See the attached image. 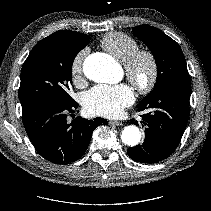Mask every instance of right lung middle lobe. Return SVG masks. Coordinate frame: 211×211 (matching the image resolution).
<instances>
[{"label": "right lung middle lobe", "instance_id": "obj_1", "mask_svg": "<svg viewBox=\"0 0 211 211\" xmlns=\"http://www.w3.org/2000/svg\"><path fill=\"white\" fill-rule=\"evenodd\" d=\"M89 36L76 35L55 40L44 38L31 50L21 70L19 99L22 110L43 101L69 104L72 64Z\"/></svg>", "mask_w": 211, "mask_h": 211}]
</instances>
